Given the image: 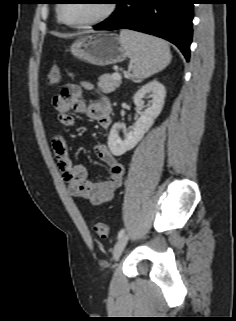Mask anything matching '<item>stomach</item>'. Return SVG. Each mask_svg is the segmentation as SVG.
Returning <instances> with one entry per match:
<instances>
[{
  "instance_id": "obj_1",
  "label": "stomach",
  "mask_w": 236,
  "mask_h": 321,
  "mask_svg": "<svg viewBox=\"0 0 236 321\" xmlns=\"http://www.w3.org/2000/svg\"><path fill=\"white\" fill-rule=\"evenodd\" d=\"M71 53L76 58L96 66L120 63L128 57L120 37L107 32L78 37L71 46Z\"/></svg>"
}]
</instances>
